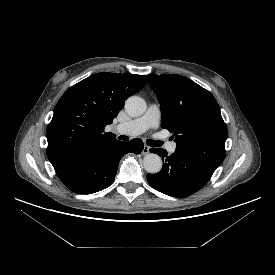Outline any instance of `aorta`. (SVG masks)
I'll use <instances>...</instances> for the list:
<instances>
[{
	"label": "aorta",
	"mask_w": 275,
	"mask_h": 275,
	"mask_svg": "<svg viewBox=\"0 0 275 275\" xmlns=\"http://www.w3.org/2000/svg\"><path fill=\"white\" fill-rule=\"evenodd\" d=\"M125 110L132 117L141 116L146 110V102L138 96H131L125 102ZM143 166L148 173L156 174L162 168L161 157L154 153L147 154Z\"/></svg>",
	"instance_id": "obj_1"
}]
</instances>
